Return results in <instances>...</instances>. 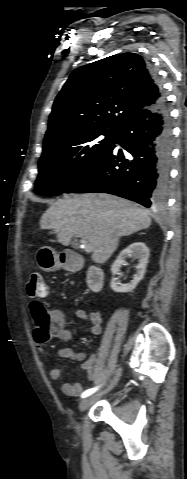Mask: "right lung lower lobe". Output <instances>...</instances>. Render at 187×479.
<instances>
[{
  "instance_id": "obj_1",
  "label": "right lung lower lobe",
  "mask_w": 187,
  "mask_h": 479,
  "mask_svg": "<svg viewBox=\"0 0 187 479\" xmlns=\"http://www.w3.org/2000/svg\"><path fill=\"white\" fill-rule=\"evenodd\" d=\"M162 97L153 107L130 117L118 130L112 147L65 193L114 194L142 204L161 207L165 203L172 152L171 118ZM116 144L122 149L116 150Z\"/></svg>"
}]
</instances>
